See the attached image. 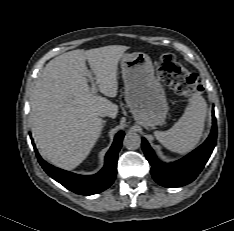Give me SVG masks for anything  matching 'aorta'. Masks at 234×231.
<instances>
[{
  "mask_svg": "<svg viewBox=\"0 0 234 231\" xmlns=\"http://www.w3.org/2000/svg\"><path fill=\"white\" fill-rule=\"evenodd\" d=\"M123 144L129 150H136L141 145V137L139 134L129 131L124 137Z\"/></svg>",
  "mask_w": 234,
  "mask_h": 231,
  "instance_id": "obj_1",
  "label": "aorta"
}]
</instances>
